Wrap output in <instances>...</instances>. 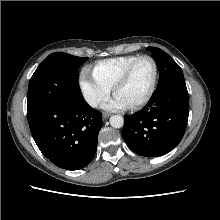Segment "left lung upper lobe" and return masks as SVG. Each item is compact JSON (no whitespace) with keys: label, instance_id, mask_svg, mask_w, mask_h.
Listing matches in <instances>:
<instances>
[{"label":"left lung upper lobe","instance_id":"obj_1","mask_svg":"<svg viewBox=\"0 0 220 220\" xmlns=\"http://www.w3.org/2000/svg\"><path fill=\"white\" fill-rule=\"evenodd\" d=\"M148 49L152 52L159 69V82L156 90L177 81H184L182 69L166 52L157 47H148Z\"/></svg>","mask_w":220,"mask_h":220}]
</instances>
